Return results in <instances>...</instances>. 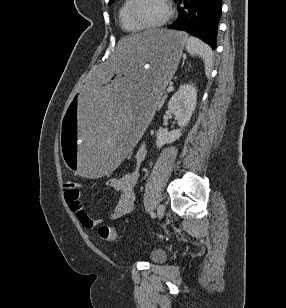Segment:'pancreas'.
I'll list each match as a JSON object with an SVG mask.
<instances>
[{"instance_id": "obj_1", "label": "pancreas", "mask_w": 286, "mask_h": 308, "mask_svg": "<svg viewBox=\"0 0 286 308\" xmlns=\"http://www.w3.org/2000/svg\"><path fill=\"white\" fill-rule=\"evenodd\" d=\"M164 99H165V96H164L162 99L160 98V99L156 102V104H155L154 107L160 108L161 105H162V103H163V101H164Z\"/></svg>"}]
</instances>
